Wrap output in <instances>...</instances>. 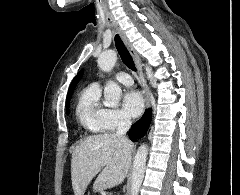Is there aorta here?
Listing matches in <instances>:
<instances>
[{
	"mask_svg": "<svg viewBox=\"0 0 240 195\" xmlns=\"http://www.w3.org/2000/svg\"><path fill=\"white\" fill-rule=\"evenodd\" d=\"M117 60L116 52L113 50H108V52H103L100 54L97 62L100 70L102 72H111L113 70ZM146 74L150 80L153 82V72L149 66L146 68ZM122 96V90L116 82H107L104 88V98L107 105L110 107H115L118 105ZM148 153V145H140L136 151L135 159L133 161L132 167V175H131V195H138L140 191V187L142 185L144 173H145V165H146V157Z\"/></svg>",
	"mask_w": 240,
	"mask_h": 195,
	"instance_id": "762f6f07",
	"label": "aorta"
}]
</instances>
